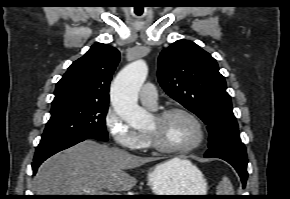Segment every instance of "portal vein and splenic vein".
I'll use <instances>...</instances> for the list:
<instances>
[{"label": "portal vein and splenic vein", "instance_id": "obj_1", "mask_svg": "<svg viewBox=\"0 0 290 199\" xmlns=\"http://www.w3.org/2000/svg\"><path fill=\"white\" fill-rule=\"evenodd\" d=\"M87 192H89V194H91V195H113L111 193L104 192V191L89 190Z\"/></svg>", "mask_w": 290, "mask_h": 199}]
</instances>
